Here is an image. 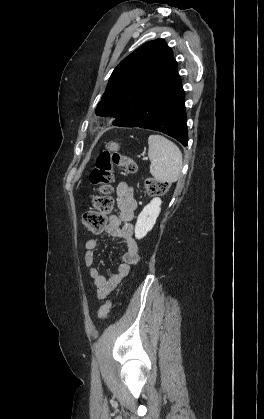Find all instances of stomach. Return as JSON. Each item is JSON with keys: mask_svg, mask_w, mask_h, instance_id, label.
Here are the masks:
<instances>
[{"mask_svg": "<svg viewBox=\"0 0 264 419\" xmlns=\"http://www.w3.org/2000/svg\"><path fill=\"white\" fill-rule=\"evenodd\" d=\"M106 148L109 151L116 152L119 149V145L116 142H110L107 144Z\"/></svg>", "mask_w": 264, "mask_h": 419, "instance_id": "obj_1", "label": "stomach"}]
</instances>
